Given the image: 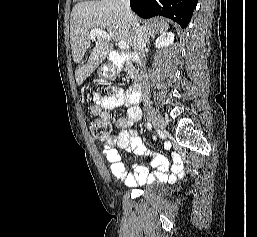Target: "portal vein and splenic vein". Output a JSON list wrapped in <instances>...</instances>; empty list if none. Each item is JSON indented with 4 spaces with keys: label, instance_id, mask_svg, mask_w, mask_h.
Listing matches in <instances>:
<instances>
[{
    "label": "portal vein and splenic vein",
    "instance_id": "portal-vein-and-splenic-vein-1",
    "mask_svg": "<svg viewBox=\"0 0 257 237\" xmlns=\"http://www.w3.org/2000/svg\"><path fill=\"white\" fill-rule=\"evenodd\" d=\"M96 37H102L107 41H111V36L108 33H106L104 30H101V29H92L91 30V40L94 41ZM118 47L121 50H127L129 48V45L124 41H120L118 43Z\"/></svg>",
    "mask_w": 257,
    "mask_h": 237
}]
</instances>
